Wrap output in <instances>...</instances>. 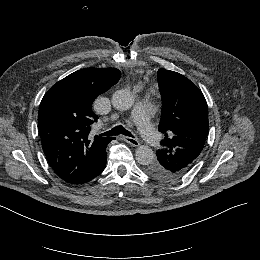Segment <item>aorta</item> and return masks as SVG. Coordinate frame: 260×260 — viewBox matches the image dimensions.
Returning a JSON list of instances; mask_svg holds the SVG:
<instances>
[{"instance_id": "obj_1", "label": "aorta", "mask_w": 260, "mask_h": 260, "mask_svg": "<svg viewBox=\"0 0 260 260\" xmlns=\"http://www.w3.org/2000/svg\"><path fill=\"white\" fill-rule=\"evenodd\" d=\"M134 102V95L127 89L118 90L112 96L114 107L121 111L130 109ZM135 158L139 164L149 165L154 160V152L149 146L141 145L135 152Z\"/></svg>"}]
</instances>
